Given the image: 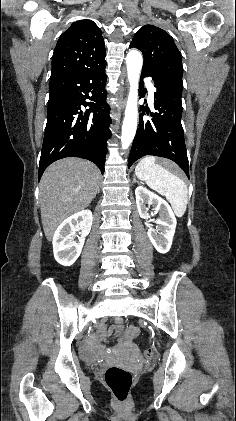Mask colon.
<instances>
[{"label": "colon", "mask_w": 236, "mask_h": 421, "mask_svg": "<svg viewBox=\"0 0 236 421\" xmlns=\"http://www.w3.org/2000/svg\"><path fill=\"white\" fill-rule=\"evenodd\" d=\"M154 355L155 352L152 349L144 351V357L146 359H151ZM104 380L107 387L119 402H125L127 400L134 381L133 375L129 370L119 366H111L105 371Z\"/></svg>", "instance_id": "obj_1"}]
</instances>
